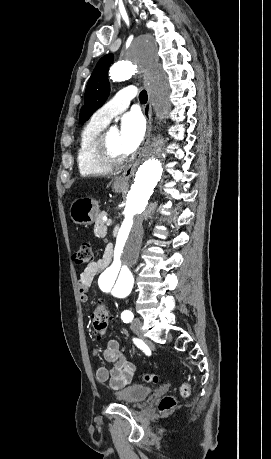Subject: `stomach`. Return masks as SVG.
Instances as JSON below:
<instances>
[{"label": "stomach", "instance_id": "stomach-1", "mask_svg": "<svg viewBox=\"0 0 271 459\" xmlns=\"http://www.w3.org/2000/svg\"><path fill=\"white\" fill-rule=\"evenodd\" d=\"M126 186H113V192H123ZM99 206L92 198H77L69 208V216L74 224L90 226L98 218Z\"/></svg>", "mask_w": 271, "mask_h": 459}]
</instances>
